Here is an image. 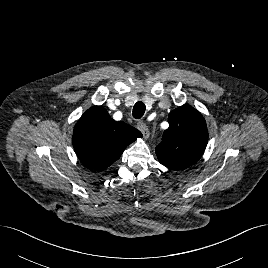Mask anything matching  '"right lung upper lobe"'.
I'll return each instance as SVG.
<instances>
[{
  "instance_id": "obj_1",
  "label": "right lung upper lobe",
  "mask_w": 268,
  "mask_h": 268,
  "mask_svg": "<svg viewBox=\"0 0 268 268\" xmlns=\"http://www.w3.org/2000/svg\"><path fill=\"white\" fill-rule=\"evenodd\" d=\"M139 137H142L139 130L113 120L102 106H93L76 123L72 142L79 160L87 168L102 171Z\"/></svg>"
}]
</instances>
